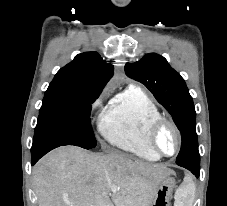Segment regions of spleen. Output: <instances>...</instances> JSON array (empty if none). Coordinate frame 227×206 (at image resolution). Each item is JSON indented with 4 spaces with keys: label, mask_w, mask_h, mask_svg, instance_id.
Returning <instances> with one entry per match:
<instances>
[{
    "label": "spleen",
    "mask_w": 227,
    "mask_h": 206,
    "mask_svg": "<svg viewBox=\"0 0 227 206\" xmlns=\"http://www.w3.org/2000/svg\"><path fill=\"white\" fill-rule=\"evenodd\" d=\"M194 193V184L186 178L185 183L175 193L174 206H192Z\"/></svg>",
    "instance_id": "1"
}]
</instances>
